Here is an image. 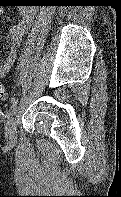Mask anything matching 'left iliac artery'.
<instances>
[{
  "mask_svg": "<svg viewBox=\"0 0 121 197\" xmlns=\"http://www.w3.org/2000/svg\"><path fill=\"white\" fill-rule=\"evenodd\" d=\"M24 63L21 62L18 67H17V73H16V77H17V87L19 86V78L20 75L22 73V69H23ZM17 104H18V98L17 99H13L12 101V105L10 106L9 110L6 113V117L10 118L15 114L16 108H17Z\"/></svg>",
  "mask_w": 121,
  "mask_h": 197,
  "instance_id": "obj_1",
  "label": "left iliac artery"
}]
</instances>
